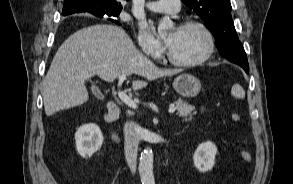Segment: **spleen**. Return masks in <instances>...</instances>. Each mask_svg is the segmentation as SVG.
<instances>
[{"mask_svg":"<svg viewBox=\"0 0 293 184\" xmlns=\"http://www.w3.org/2000/svg\"><path fill=\"white\" fill-rule=\"evenodd\" d=\"M231 94L238 99L245 98V91L239 84H234L231 89Z\"/></svg>","mask_w":293,"mask_h":184,"instance_id":"spleen-1","label":"spleen"}]
</instances>
